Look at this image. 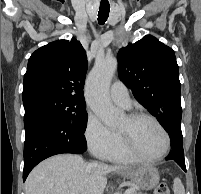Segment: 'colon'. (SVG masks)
Returning a JSON list of instances; mask_svg holds the SVG:
<instances>
[{"label":"colon","mask_w":201,"mask_h":194,"mask_svg":"<svg viewBox=\"0 0 201 194\" xmlns=\"http://www.w3.org/2000/svg\"><path fill=\"white\" fill-rule=\"evenodd\" d=\"M154 194H170V190H169L168 185L165 183L159 184L156 187Z\"/></svg>","instance_id":"5ec220e1"}]
</instances>
